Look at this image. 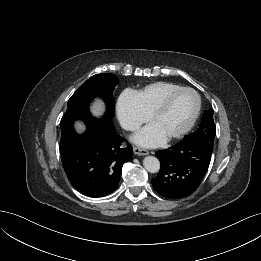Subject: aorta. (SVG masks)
I'll return each instance as SVG.
<instances>
[{"mask_svg": "<svg viewBox=\"0 0 261 261\" xmlns=\"http://www.w3.org/2000/svg\"><path fill=\"white\" fill-rule=\"evenodd\" d=\"M144 168L150 173H156L160 169V162L154 156H147L143 160Z\"/></svg>", "mask_w": 261, "mask_h": 261, "instance_id": "obj_1", "label": "aorta"}]
</instances>
